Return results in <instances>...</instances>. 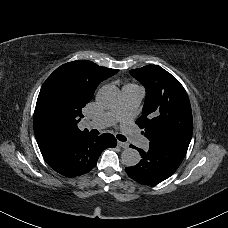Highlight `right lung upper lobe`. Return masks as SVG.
<instances>
[{
	"label": "right lung upper lobe",
	"instance_id": "cb5924a9",
	"mask_svg": "<svg viewBox=\"0 0 228 228\" xmlns=\"http://www.w3.org/2000/svg\"><path fill=\"white\" fill-rule=\"evenodd\" d=\"M119 70L82 60L57 68L44 82L34 112V132L40 150L87 132L77 127L81 109L92 99L100 82Z\"/></svg>",
	"mask_w": 228,
	"mask_h": 228
}]
</instances>
